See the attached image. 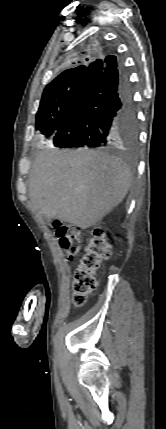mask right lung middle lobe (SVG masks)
<instances>
[{
    "mask_svg": "<svg viewBox=\"0 0 166 429\" xmlns=\"http://www.w3.org/2000/svg\"><path fill=\"white\" fill-rule=\"evenodd\" d=\"M83 75L66 78L44 90L36 115V129L46 137L55 134L61 126L71 100L81 83ZM136 125L118 129L112 139L134 146L136 144Z\"/></svg>",
    "mask_w": 166,
    "mask_h": 429,
    "instance_id": "obj_1",
    "label": "right lung middle lobe"
}]
</instances>
